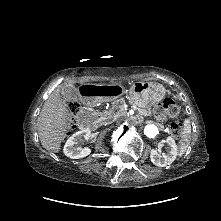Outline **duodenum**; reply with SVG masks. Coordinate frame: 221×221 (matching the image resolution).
Segmentation results:
<instances>
[{
  "label": "duodenum",
  "instance_id": "duodenum-1",
  "mask_svg": "<svg viewBox=\"0 0 221 221\" xmlns=\"http://www.w3.org/2000/svg\"><path fill=\"white\" fill-rule=\"evenodd\" d=\"M122 93V89L119 86H102V85H82L78 89V96L80 99L85 100L86 103H99L110 102L115 96ZM95 123L94 115L89 111H84L78 116V124L80 129L88 131Z\"/></svg>",
  "mask_w": 221,
  "mask_h": 221
}]
</instances>
